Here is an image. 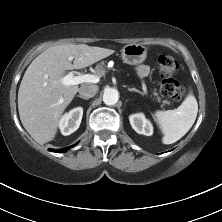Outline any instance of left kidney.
Instances as JSON below:
<instances>
[{
    "mask_svg": "<svg viewBox=\"0 0 222 222\" xmlns=\"http://www.w3.org/2000/svg\"><path fill=\"white\" fill-rule=\"evenodd\" d=\"M132 128L139 134L151 136L153 134V126L142 113L133 114L129 117Z\"/></svg>",
    "mask_w": 222,
    "mask_h": 222,
    "instance_id": "5707ae66",
    "label": "left kidney"
}]
</instances>
